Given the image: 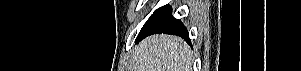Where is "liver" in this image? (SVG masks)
I'll return each mask as SVG.
<instances>
[{
	"label": "liver",
	"mask_w": 301,
	"mask_h": 71,
	"mask_svg": "<svg viewBox=\"0 0 301 71\" xmlns=\"http://www.w3.org/2000/svg\"><path fill=\"white\" fill-rule=\"evenodd\" d=\"M191 65L192 51L184 40L157 34L135 48L131 71H190Z\"/></svg>",
	"instance_id": "obj_1"
}]
</instances>
